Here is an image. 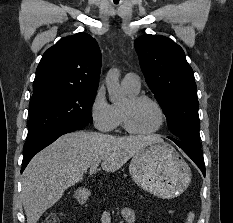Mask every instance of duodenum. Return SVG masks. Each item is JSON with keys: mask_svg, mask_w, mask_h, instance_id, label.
<instances>
[{"mask_svg": "<svg viewBox=\"0 0 233 223\" xmlns=\"http://www.w3.org/2000/svg\"><path fill=\"white\" fill-rule=\"evenodd\" d=\"M89 192L87 190H80L75 195V202L78 205L85 204L89 199Z\"/></svg>", "mask_w": 233, "mask_h": 223, "instance_id": "410a0bca", "label": "duodenum"}]
</instances>
